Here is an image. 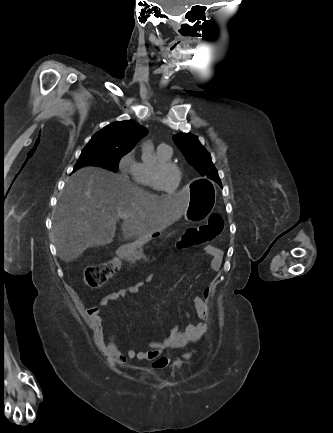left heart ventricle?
I'll return each instance as SVG.
<instances>
[{"instance_id":"left-heart-ventricle-1","label":"left heart ventricle","mask_w":333,"mask_h":433,"mask_svg":"<svg viewBox=\"0 0 333 433\" xmlns=\"http://www.w3.org/2000/svg\"><path fill=\"white\" fill-rule=\"evenodd\" d=\"M178 173L174 169H167L162 173L161 183L167 191H174L177 185Z\"/></svg>"}]
</instances>
